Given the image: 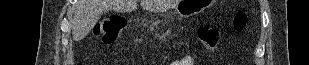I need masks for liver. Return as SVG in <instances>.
<instances>
[{
    "label": "liver",
    "mask_w": 309,
    "mask_h": 65,
    "mask_svg": "<svg viewBox=\"0 0 309 65\" xmlns=\"http://www.w3.org/2000/svg\"><path fill=\"white\" fill-rule=\"evenodd\" d=\"M137 0H78L72 20L74 41H81L95 26L103 12L109 10L130 12L137 9ZM141 6L152 12H161L173 6L170 0H141Z\"/></svg>",
    "instance_id": "liver-1"
}]
</instances>
